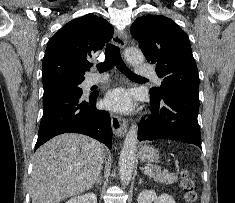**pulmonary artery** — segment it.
<instances>
[{
    "label": "pulmonary artery",
    "mask_w": 235,
    "mask_h": 203,
    "mask_svg": "<svg viewBox=\"0 0 235 203\" xmlns=\"http://www.w3.org/2000/svg\"><path fill=\"white\" fill-rule=\"evenodd\" d=\"M137 72L140 75H144V76H149L152 77L154 79V81L160 85L161 84V79L157 77V75L154 73L153 70L149 69L147 66L145 65H139L137 67ZM107 80V76L106 75H97V74H92L90 75L87 80H86V85L87 86H93L95 84H99L102 83L104 81Z\"/></svg>",
    "instance_id": "pulmonary-artery-1"
}]
</instances>
